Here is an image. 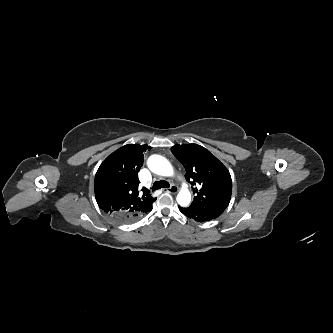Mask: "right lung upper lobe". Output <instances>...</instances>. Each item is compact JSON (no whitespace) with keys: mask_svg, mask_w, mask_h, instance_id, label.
<instances>
[{"mask_svg":"<svg viewBox=\"0 0 333 333\" xmlns=\"http://www.w3.org/2000/svg\"><path fill=\"white\" fill-rule=\"evenodd\" d=\"M146 149L147 145L127 144L100 165L95 175V197L106 214H139L156 200L146 188L142 189L143 193L138 190V172Z\"/></svg>","mask_w":333,"mask_h":333,"instance_id":"cb5924a9","label":"right lung upper lobe"}]
</instances>
